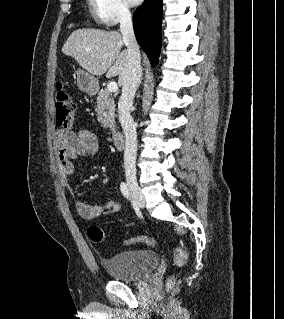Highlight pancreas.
<instances>
[{"mask_svg": "<svg viewBox=\"0 0 284 319\" xmlns=\"http://www.w3.org/2000/svg\"><path fill=\"white\" fill-rule=\"evenodd\" d=\"M97 120L105 128H112L115 124V103L110 92L106 89L99 92L97 97Z\"/></svg>", "mask_w": 284, "mask_h": 319, "instance_id": "1", "label": "pancreas"}]
</instances>
